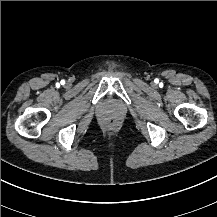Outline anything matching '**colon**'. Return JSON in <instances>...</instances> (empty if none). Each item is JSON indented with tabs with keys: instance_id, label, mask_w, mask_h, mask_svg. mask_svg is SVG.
Wrapping results in <instances>:
<instances>
[{
	"instance_id": "5ec220e1",
	"label": "colon",
	"mask_w": 217,
	"mask_h": 217,
	"mask_svg": "<svg viewBox=\"0 0 217 217\" xmlns=\"http://www.w3.org/2000/svg\"><path fill=\"white\" fill-rule=\"evenodd\" d=\"M108 124H109L111 127H114V126L117 124V121H116L114 118H111V119L108 121Z\"/></svg>"
}]
</instances>
